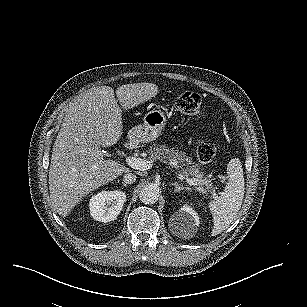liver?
Listing matches in <instances>:
<instances>
[{"label": "liver", "mask_w": 307, "mask_h": 307, "mask_svg": "<svg viewBox=\"0 0 307 307\" xmlns=\"http://www.w3.org/2000/svg\"><path fill=\"white\" fill-rule=\"evenodd\" d=\"M153 83L93 87L78 96L69 106L52 148L49 167L50 199L62 217L84 196L113 181L128 167L105 160L102 147L116 144L122 134V109L128 110L158 94Z\"/></svg>", "instance_id": "liver-1"}]
</instances>
